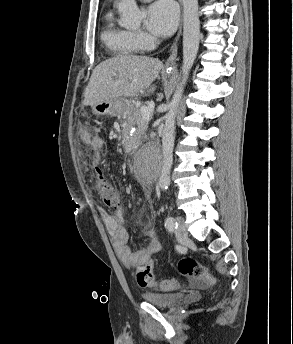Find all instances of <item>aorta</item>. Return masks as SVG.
Instances as JSON below:
<instances>
[{"mask_svg": "<svg viewBox=\"0 0 293 344\" xmlns=\"http://www.w3.org/2000/svg\"><path fill=\"white\" fill-rule=\"evenodd\" d=\"M183 4V62L181 67L182 80L173 94L164 116V129L162 132V168L159 177V186L162 190L167 189L170 183V170L173 163V148L175 141V118L181 101L184 86L186 85L189 72L196 59L200 40V21L198 0H182ZM121 16L120 24L123 27H137L145 16L135 0H122L118 4ZM156 166L155 158L147 153H141L137 159L139 172H149Z\"/></svg>", "mask_w": 293, "mask_h": 344, "instance_id": "762f6f07", "label": "aorta"}]
</instances>
